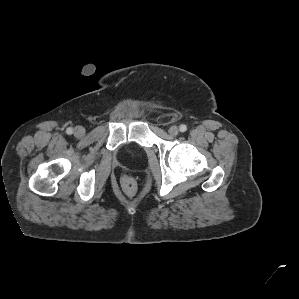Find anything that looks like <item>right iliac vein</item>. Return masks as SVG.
Listing matches in <instances>:
<instances>
[{"label": "right iliac vein", "mask_w": 299, "mask_h": 299, "mask_svg": "<svg viewBox=\"0 0 299 299\" xmlns=\"http://www.w3.org/2000/svg\"><path fill=\"white\" fill-rule=\"evenodd\" d=\"M85 134V128L82 126H77L74 129V135L76 137H82Z\"/></svg>", "instance_id": "1"}]
</instances>
